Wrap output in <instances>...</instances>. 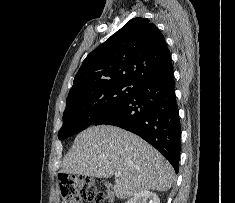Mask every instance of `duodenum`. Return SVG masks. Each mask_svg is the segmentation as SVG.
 I'll use <instances>...</instances> for the list:
<instances>
[{
	"label": "duodenum",
	"instance_id": "410a0bca",
	"mask_svg": "<svg viewBox=\"0 0 235 203\" xmlns=\"http://www.w3.org/2000/svg\"><path fill=\"white\" fill-rule=\"evenodd\" d=\"M108 196H109L110 202H112V200H113V195H112L111 193H109Z\"/></svg>",
	"mask_w": 235,
	"mask_h": 203
}]
</instances>
